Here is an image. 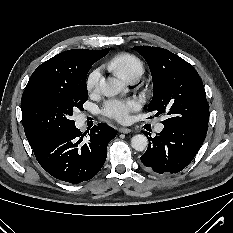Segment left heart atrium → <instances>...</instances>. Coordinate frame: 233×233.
I'll list each match as a JSON object with an SVG mask.
<instances>
[{
  "label": "left heart atrium",
  "instance_id": "obj_1",
  "mask_svg": "<svg viewBox=\"0 0 233 233\" xmlns=\"http://www.w3.org/2000/svg\"><path fill=\"white\" fill-rule=\"evenodd\" d=\"M139 102L134 99L130 100H109L103 106V113L120 122L129 119V114L139 108Z\"/></svg>",
  "mask_w": 233,
  "mask_h": 233
}]
</instances>
